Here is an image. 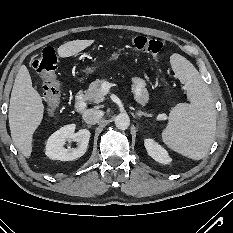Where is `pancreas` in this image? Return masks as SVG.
<instances>
[{
    "label": "pancreas",
    "instance_id": "pancreas-1",
    "mask_svg": "<svg viewBox=\"0 0 233 233\" xmlns=\"http://www.w3.org/2000/svg\"><path fill=\"white\" fill-rule=\"evenodd\" d=\"M105 80L96 79L91 82L89 88L85 92V98L89 102L100 103L104 100V95L101 91V87ZM131 90L134 93L135 100L141 104L145 105L149 100V93L146 88V82L138 77L132 78Z\"/></svg>",
    "mask_w": 233,
    "mask_h": 233
}]
</instances>
